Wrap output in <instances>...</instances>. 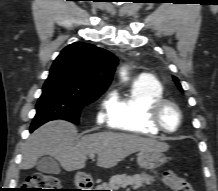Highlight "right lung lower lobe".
<instances>
[{
	"label": "right lung lower lobe",
	"mask_w": 218,
	"mask_h": 191,
	"mask_svg": "<svg viewBox=\"0 0 218 191\" xmlns=\"http://www.w3.org/2000/svg\"><path fill=\"white\" fill-rule=\"evenodd\" d=\"M33 131V129L32 128H30V132H32Z\"/></svg>",
	"instance_id": "right-lung-lower-lobe-1"
}]
</instances>
